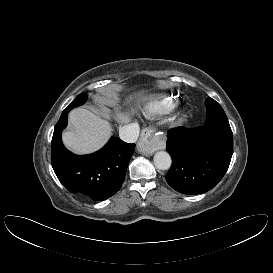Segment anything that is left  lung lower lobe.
Returning a JSON list of instances; mask_svg holds the SVG:
<instances>
[{"label": "left lung lower lobe", "mask_w": 273, "mask_h": 273, "mask_svg": "<svg viewBox=\"0 0 273 273\" xmlns=\"http://www.w3.org/2000/svg\"><path fill=\"white\" fill-rule=\"evenodd\" d=\"M167 138L172 166L166 181L174 190L200 194L222 179L233 154V133L226 116L207 117L202 128L171 129Z\"/></svg>", "instance_id": "0a47b994"}]
</instances>
